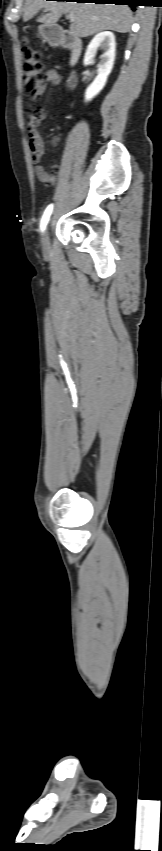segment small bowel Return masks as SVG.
Masks as SVG:
<instances>
[{"label": "small bowel", "mask_w": 162, "mask_h": 851, "mask_svg": "<svg viewBox=\"0 0 162 851\" xmlns=\"http://www.w3.org/2000/svg\"><path fill=\"white\" fill-rule=\"evenodd\" d=\"M47 82H51L54 85L60 84V79L58 78V74L55 70H49L46 73V81H40L36 86L33 92V99L35 102L44 94ZM78 84V73L76 70H71L67 74V78L64 82V87L67 92L73 94L76 92ZM45 118V113L42 110H35L29 116L27 120V133L29 137V146L31 149V160L35 166V174L37 178L47 184H55L59 179L60 168L58 166H54L51 171H47L43 165H41V160L44 155V141L40 136L38 126L39 123ZM60 141L59 136H53L50 139V144L52 146H56Z\"/></svg>", "instance_id": "small-bowel-1"}]
</instances>
